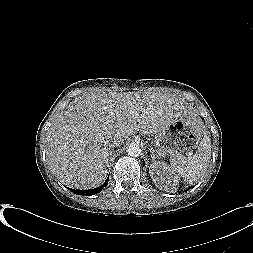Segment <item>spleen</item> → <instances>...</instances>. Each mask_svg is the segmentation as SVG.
Here are the masks:
<instances>
[{
	"label": "spleen",
	"mask_w": 253,
	"mask_h": 253,
	"mask_svg": "<svg viewBox=\"0 0 253 253\" xmlns=\"http://www.w3.org/2000/svg\"><path fill=\"white\" fill-rule=\"evenodd\" d=\"M204 138L201 140L196 153L189 159L184 157H176L170 160V165L173 171L177 172L179 176L183 177L185 181L192 184L196 182L207 171L209 161L211 158V142L209 132L201 123Z\"/></svg>",
	"instance_id": "3e777b00"
}]
</instances>
